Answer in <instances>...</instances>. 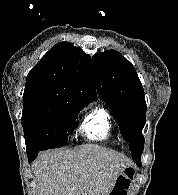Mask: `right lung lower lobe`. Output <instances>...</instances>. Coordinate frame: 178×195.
<instances>
[{
  "mask_svg": "<svg viewBox=\"0 0 178 195\" xmlns=\"http://www.w3.org/2000/svg\"><path fill=\"white\" fill-rule=\"evenodd\" d=\"M37 155H38V152L35 153V154H32V155H28V162L30 163V162H32L33 160H35L36 157H37Z\"/></svg>",
  "mask_w": 178,
  "mask_h": 195,
  "instance_id": "1",
  "label": "right lung lower lobe"
}]
</instances>
